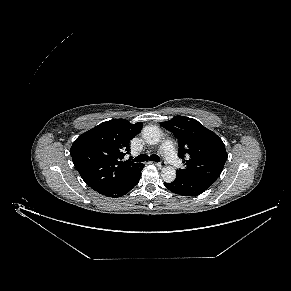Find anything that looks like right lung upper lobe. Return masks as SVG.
<instances>
[{"instance_id":"cb5924a9","label":"right lung upper lobe","mask_w":291,"mask_h":291,"mask_svg":"<svg viewBox=\"0 0 291 291\" xmlns=\"http://www.w3.org/2000/svg\"><path fill=\"white\" fill-rule=\"evenodd\" d=\"M142 123L125 119L103 122L80 135L70 154L79 174L95 191L110 187L132 176L142 165L122 159L128 153L129 141L139 132Z\"/></svg>"}]
</instances>
